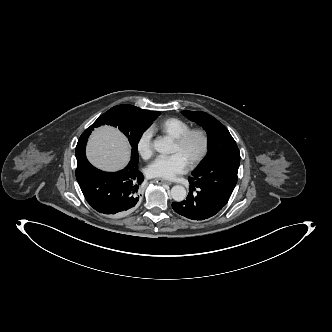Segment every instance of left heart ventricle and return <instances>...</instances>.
<instances>
[{
	"instance_id": "obj_1",
	"label": "left heart ventricle",
	"mask_w": 332,
	"mask_h": 332,
	"mask_svg": "<svg viewBox=\"0 0 332 332\" xmlns=\"http://www.w3.org/2000/svg\"><path fill=\"white\" fill-rule=\"evenodd\" d=\"M201 144V138L195 135L189 139V141L183 148H180L176 144H174L173 153L181 154L188 162L193 156H195L199 152Z\"/></svg>"
}]
</instances>
